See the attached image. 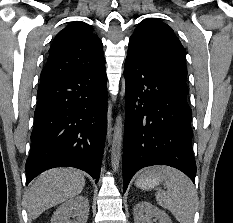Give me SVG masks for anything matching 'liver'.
<instances>
[{"label": "liver", "mask_w": 233, "mask_h": 223, "mask_svg": "<svg viewBox=\"0 0 233 223\" xmlns=\"http://www.w3.org/2000/svg\"><path fill=\"white\" fill-rule=\"evenodd\" d=\"M85 185L83 171L74 167H54L43 171L31 183L24 201L32 219L39 217L45 209L58 205L81 193Z\"/></svg>", "instance_id": "obj_1"}]
</instances>
